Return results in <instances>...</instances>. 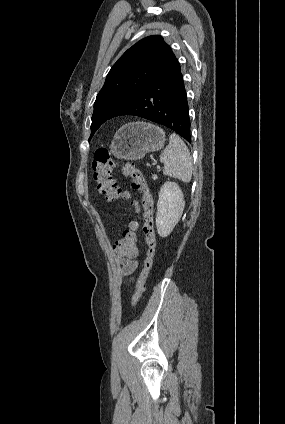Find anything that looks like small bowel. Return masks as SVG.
I'll list each match as a JSON object with an SVG mask.
<instances>
[{"instance_id": "small-bowel-1", "label": "small bowel", "mask_w": 285, "mask_h": 424, "mask_svg": "<svg viewBox=\"0 0 285 424\" xmlns=\"http://www.w3.org/2000/svg\"><path fill=\"white\" fill-rule=\"evenodd\" d=\"M134 207L136 212H139V204L137 201L134 202ZM130 228L131 229H136L137 228V224L132 222L130 223ZM139 254V249L136 246V251H135V255L128 260H121L122 263V274L127 277L129 280L133 279L134 274L137 272L139 265L137 260L135 259L137 257V255Z\"/></svg>"}]
</instances>
